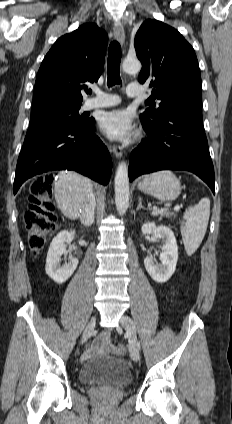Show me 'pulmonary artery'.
<instances>
[{
	"label": "pulmonary artery",
	"mask_w": 232,
	"mask_h": 424,
	"mask_svg": "<svg viewBox=\"0 0 232 424\" xmlns=\"http://www.w3.org/2000/svg\"><path fill=\"white\" fill-rule=\"evenodd\" d=\"M126 93L129 97H136L142 95L144 90L140 84L132 83L128 85ZM120 101L121 98L117 94H108L95 90V96L88 99L84 107L85 109L107 108L119 104Z\"/></svg>",
	"instance_id": "e3ab8cb5"
}]
</instances>
